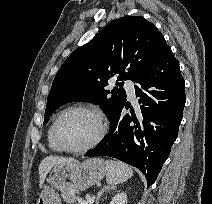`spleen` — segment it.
<instances>
[{
    "mask_svg": "<svg viewBox=\"0 0 212 204\" xmlns=\"http://www.w3.org/2000/svg\"><path fill=\"white\" fill-rule=\"evenodd\" d=\"M106 181L115 186L124 183L133 176V170L120 161L107 160L106 162Z\"/></svg>",
    "mask_w": 212,
    "mask_h": 204,
    "instance_id": "3e777b00",
    "label": "spleen"
}]
</instances>
